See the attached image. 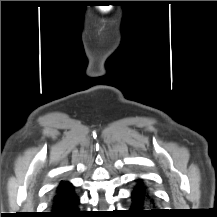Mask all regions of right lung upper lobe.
<instances>
[{
    "mask_svg": "<svg viewBox=\"0 0 217 217\" xmlns=\"http://www.w3.org/2000/svg\"><path fill=\"white\" fill-rule=\"evenodd\" d=\"M70 187H72V185L69 182H61L59 184V186L57 187L56 192L63 191V190L68 189Z\"/></svg>",
    "mask_w": 217,
    "mask_h": 217,
    "instance_id": "right-lung-upper-lobe-1",
    "label": "right lung upper lobe"
}]
</instances>
